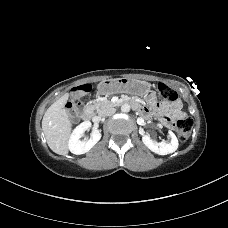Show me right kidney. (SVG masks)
<instances>
[{
    "label": "right kidney",
    "instance_id": "1",
    "mask_svg": "<svg viewBox=\"0 0 228 228\" xmlns=\"http://www.w3.org/2000/svg\"><path fill=\"white\" fill-rule=\"evenodd\" d=\"M90 127L91 122L85 121L73 130L68 142V148L71 153L76 155L84 154L101 139L100 131L98 129H94L89 140H81L83 133Z\"/></svg>",
    "mask_w": 228,
    "mask_h": 228
}]
</instances>
